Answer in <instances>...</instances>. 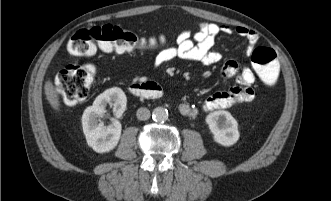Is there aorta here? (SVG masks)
<instances>
[{
	"mask_svg": "<svg viewBox=\"0 0 331 201\" xmlns=\"http://www.w3.org/2000/svg\"><path fill=\"white\" fill-rule=\"evenodd\" d=\"M152 118L156 122H165L168 119V110L163 107H156L152 112Z\"/></svg>",
	"mask_w": 331,
	"mask_h": 201,
	"instance_id": "obj_1",
	"label": "aorta"
}]
</instances>
